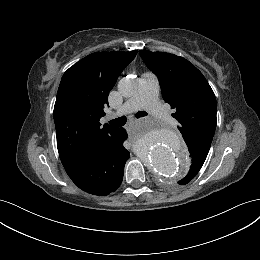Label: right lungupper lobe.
<instances>
[{
	"label": "right lung upper lobe",
	"instance_id": "cb5924a9",
	"mask_svg": "<svg viewBox=\"0 0 260 260\" xmlns=\"http://www.w3.org/2000/svg\"><path fill=\"white\" fill-rule=\"evenodd\" d=\"M137 51L95 52L63 75L54 106L57 148L63 166L112 137L119 128L99 120L118 76Z\"/></svg>",
	"mask_w": 260,
	"mask_h": 260
}]
</instances>
